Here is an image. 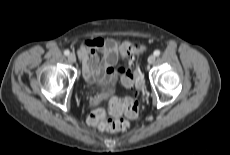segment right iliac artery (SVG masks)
<instances>
[{
	"instance_id": "obj_1",
	"label": "right iliac artery",
	"mask_w": 230,
	"mask_h": 155,
	"mask_svg": "<svg viewBox=\"0 0 230 155\" xmlns=\"http://www.w3.org/2000/svg\"><path fill=\"white\" fill-rule=\"evenodd\" d=\"M64 54H65L66 56H68V55L70 54L69 50H65V51H64Z\"/></svg>"
}]
</instances>
